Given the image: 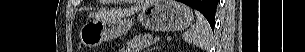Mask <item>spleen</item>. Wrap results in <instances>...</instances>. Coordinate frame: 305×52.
Listing matches in <instances>:
<instances>
[{
	"instance_id": "1",
	"label": "spleen",
	"mask_w": 305,
	"mask_h": 52,
	"mask_svg": "<svg viewBox=\"0 0 305 52\" xmlns=\"http://www.w3.org/2000/svg\"><path fill=\"white\" fill-rule=\"evenodd\" d=\"M197 16V21L193 25L190 31L183 33L182 38L198 47L208 49L210 47L211 37H212V30L205 19V17L199 12L195 11Z\"/></svg>"
}]
</instances>
